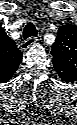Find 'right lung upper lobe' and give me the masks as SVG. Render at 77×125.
Instances as JSON below:
<instances>
[{"label":"right lung upper lobe","mask_w":77,"mask_h":125,"mask_svg":"<svg viewBox=\"0 0 77 125\" xmlns=\"http://www.w3.org/2000/svg\"><path fill=\"white\" fill-rule=\"evenodd\" d=\"M22 52L2 29L0 31V82H7L18 69Z\"/></svg>","instance_id":"1"}]
</instances>
